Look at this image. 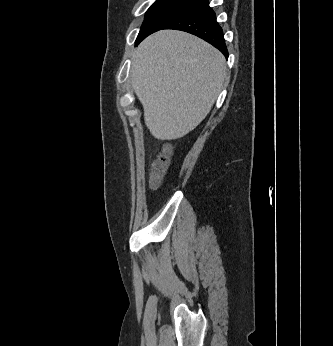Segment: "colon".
<instances>
[{
	"label": "colon",
	"instance_id": "obj_1",
	"mask_svg": "<svg viewBox=\"0 0 333 346\" xmlns=\"http://www.w3.org/2000/svg\"><path fill=\"white\" fill-rule=\"evenodd\" d=\"M172 152V148L170 146H166L163 152L158 156L156 161L154 162L151 175H150V183L153 188H156L161 183L166 168L170 162V155Z\"/></svg>",
	"mask_w": 333,
	"mask_h": 346
}]
</instances>
